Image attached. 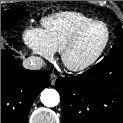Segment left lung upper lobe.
I'll return each instance as SVG.
<instances>
[{"mask_svg": "<svg viewBox=\"0 0 123 123\" xmlns=\"http://www.w3.org/2000/svg\"><path fill=\"white\" fill-rule=\"evenodd\" d=\"M114 19H116V18L114 17ZM115 35H116V39L114 42V46L110 51V54L123 50V30H122L120 24H117L115 26Z\"/></svg>", "mask_w": 123, "mask_h": 123, "instance_id": "5c2ea615", "label": "left lung upper lobe"}]
</instances>
